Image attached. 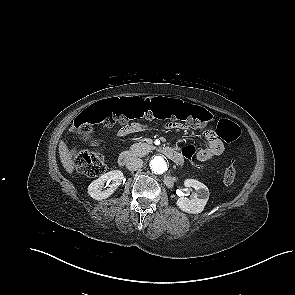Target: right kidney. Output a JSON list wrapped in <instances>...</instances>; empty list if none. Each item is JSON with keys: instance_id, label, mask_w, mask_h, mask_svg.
I'll return each mask as SVG.
<instances>
[{"instance_id": "ca27d5eb", "label": "right kidney", "mask_w": 295, "mask_h": 295, "mask_svg": "<svg viewBox=\"0 0 295 295\" xmlns=\"http://www.w3.org/2000/svg\"><path fill=\"white\" fill-rule=\"evenodd\" d=\"M123 173L120 170H113L101 175L88 186V194L95 200H103L113 194L114 190L121 184ZM112 181L107 189H102L105 183Z\"/></svg>"}]
</instances>
